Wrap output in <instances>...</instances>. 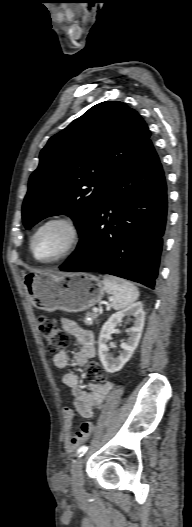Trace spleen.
Wrapping results in <instances>:
<instances>
[{
  "instance_id": "3e777b00",
  "label": "spleen",
  "mask_w": 192,
  "mask_h": 527,
  "mask_svg": "<svg viewBox=\"0 0 192 527\" xmlns=\"http://www.w3.org/2000/svg\"><path fill=\"white\" fill-rule=\"evenodd\" d=\"M104 290L112 295L111 303L115 310L126 308L134 303L139 297L137 287L131 282L110 275L103 277Z\"/></svg>"
}]
</instances>
